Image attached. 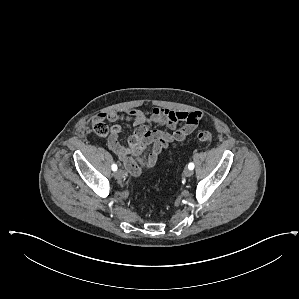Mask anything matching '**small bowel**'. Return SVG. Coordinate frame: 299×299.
I'll return each mask as SVG.
<instances>
[{
	"mask_svg": "<svg viewBox=\"0 0 299 299\" xmlns=\"http://www.w3.org/2000/svg\"><path fill=\"white\" fill-rule=\"evenodd\" d=\"M100 116L116 123L111 127L109 148L119 157L124 168L134 176L140 175L144 168L153 167L162 150L173 142L184 141L200 121H208L200 111H176L161 107H154L150 116L139 109H130L124 114L109 111L101 113ZM117 122L131 123L135 128L126 145L118 140L121 126ZM155 126L166 127L170 132ZM149 145L150 153L143 159L142 154Z\"/></svg>",
	"mask_w": 299,
	"mask_h": 299,
	"instance_id": "c3829d8e",
	"label": "small bowel"
}]
</instances>
